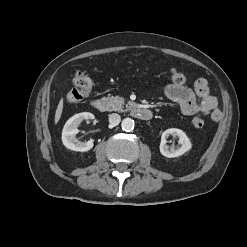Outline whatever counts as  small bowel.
Listing matches in <instances>:
<instances>
[{
    "instance_id": "small-bowel-1",
    "label": "small bowel",
    "mask_w": 247,
    "mask_h": 247,
    "mask_svg": "<svg viewBox=\"0 0 247 247\" xmlns=\"http://www.w3.org/2000/svg\"><path fill=\"white\" fill-rule=\"evenodd\" d=\"M163 95L166 99L178 103L184 116L201 114L210 116L214 121L221 118L217 99L210 94L208 82L204 78L196 80L194 91L187 86L172 83L164 88Z\"/></svg>"
}]
</instances>
